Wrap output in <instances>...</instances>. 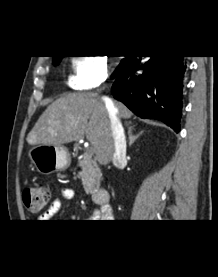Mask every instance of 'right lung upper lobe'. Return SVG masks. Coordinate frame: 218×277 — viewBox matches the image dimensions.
<instances>
[{
	"label": "right lung upper lobe",
	"instance_id": "obj_1",
	"mask_svg": "<svg viewBox=\"0 0 218 277\" xmlns=\"http://www.w3.org/2000/svg\"><path fill=\"white\" fill-rule=\"evenodd\" d=\"M59 57H61V56H53V60H54V59H57V58H59Z\"/></svg>",
	"mask_w": 218,
	"mask_h": 277
}]
</instances>
